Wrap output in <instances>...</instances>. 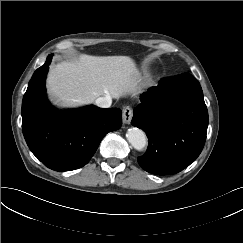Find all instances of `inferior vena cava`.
I'll return each instance as SVG.
<instances>
[{
	"instance_id": "1",
	"label": "inferior vena cava",
	"mask_w": 243,
	"mask_h": 243,
	"mask_svg": "<svg viewBox=\"0 0 243 243\" xmlns=\"http://www.w3.org/2000/svg\"><path fill=\"white\" fill-rule=\"evenodd\" d=\"M112 104V98L110 96L99 97L95 100V105L100 108H109Z\"/></svg>"
}]
</instances>
